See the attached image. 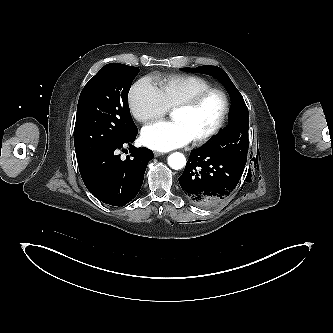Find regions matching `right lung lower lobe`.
Returning a JSON list of instances; mask_svg holds the SVG:
<instances>
[{
  "label": "right lung lower lobe",
  "mask_w": 333,
  "mask_h": 333,
  "mask_svg": "<svg viewBox=\"0 0 333 333\" xmlns=\"http://www.w3.org/2000/svg\"><path fill=\"white\" fill-rule=\"evenodd\" d=\"M138 130L123 141L117 142L95 153L90 158L79 161V171L87 189L100 201L124 206L139 192L148 162L153 152L145 147H131L126 160L117 155L123 145H132Z\"/></svg>",
  "instance_id": "98d812e1"
}]
</instances>
